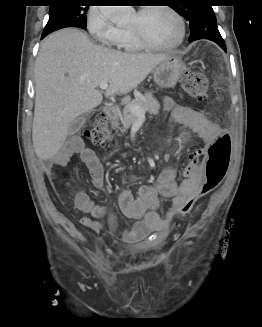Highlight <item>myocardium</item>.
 <instances>
[{
	"label": "myocardium",
	"instance_id": "myocardium-1",
	"mask_svg": "<svg viewBox=\"0 0 262 327\" xmlns=\"http://www.w3.org/2000/svg\"><path fill=\"white\" fill-rule=\"evenodd\" d=\"M164 9L168 11L170 14H172L175 19L177 20L179 27H180V34L178 39L171 43V44H157L150 40L141 30L137 28L129 27V31L134 35L136 40L147 49L151 50H159V51H166V50H172L178 48L185 40L186 37V23L183 18V16L172 6L167 4H161V5H152V6H145L141 7L139 10L136 11L137 14L141 15L146 11H149L151 9Z\"/></svg>",
	"mask_w": 262,
	"mask_h": 327
}]
</instances>
